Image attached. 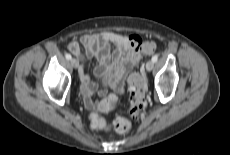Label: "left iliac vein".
Masks as SVG:
<instances>
[{"label":"left iliac vein","mask_w":230,"mask_h":155,"mask_svg":"<svg viewBox=\"0 0 230 155\" xmlns=\"http://www.w3.org/2000/svg\"><path fill=\"white\" fill-rule=\"evenodd\" d=\"M154 67V62L152 60H149L147 63H146V70L147 71H151Z\"/></svg>","instance_id":"left-iliac-vein-1"}]
</instances>
